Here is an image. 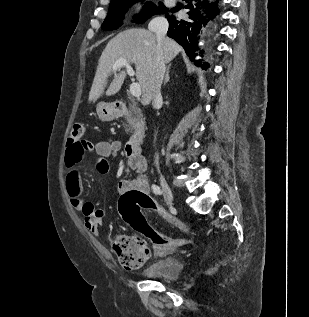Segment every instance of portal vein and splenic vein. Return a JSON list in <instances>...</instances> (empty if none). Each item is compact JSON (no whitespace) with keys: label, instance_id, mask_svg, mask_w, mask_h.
I'll return each mask as SVG.
<instances>
[{"label":"portal vein and splenic vein","instance_id":"18ae733b","mask_svg":"<svg viewBox=\"0 0 309 317\" xmlns=\"http://www.w3.org/2000/svg\"><path fill=\"white\" fill-rule=\"evenodd\" d=\"M125 66L127 69V72L130 76H134V71L132 69V67L130 66L129 62L125 59H120L118 61H116V63L113 65V71H116L118 68ZM130 92L132 94V96L134 97H140L141 95V87L140 84L137 82H133L130 85Z\"/></svg>","mask_w":309,"mask_h":317}]
</instances>
